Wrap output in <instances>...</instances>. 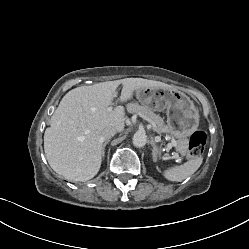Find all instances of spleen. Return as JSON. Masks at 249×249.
<instances>
[{
    "instance_id": "spleen-1",
    "label": "spleen",
    "mask_w": 249,
    "mask_h": 249,
    "mask_svg": "<svg viewBox=\"0 0 249 249\" xmlns=\"http://www.w3.org/2000/svg\"><path fill=\"white\" fill-rule=\"evenodd\" d=\"M203 158L201 156L191 159L179 166H173L164 170V177L172 182H181L194 174L201 166Z\"/></svg>"
}]
</instances>
